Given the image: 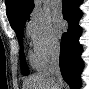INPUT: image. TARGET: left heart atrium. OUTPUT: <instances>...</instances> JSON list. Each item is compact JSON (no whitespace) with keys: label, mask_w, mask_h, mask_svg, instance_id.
<instances>
[{"label":"left heart atrium","mask_w":89,"mask_h":89,"mask_svg":"<svg viewBox=\"0 0 89 89\" xmlns=\"http://www.w3.org/2000/svg\"><path fill=\"white\" fill-rule=\"evenodd\" d=\"M52 19L56 32L58 34L61 33L66 27L62 14L59 11H55L52 15Z\"/></svg>","instance_id":"obj_1"}]
</instances>
